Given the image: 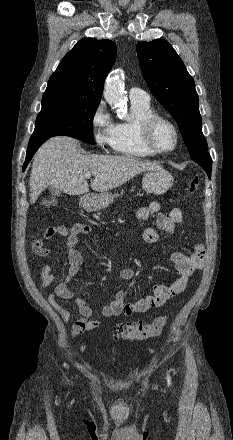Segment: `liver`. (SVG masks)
Here are the masks:
<instances>
[{
    "label": "liver",
    "instance_id": "6515ba94",
    "mask_svg": "<svg viewBox=\"0 0 233 440\" xmlns=\"http://www.w3.org/2000/svg\"><path fill=\"white\" fill-rule=\"evenodd\" d=\"M159 167L157 163L130 156L83 155L78 151L76 139L56 136L44 143L34 157L29 183L30 203L34 204L48 186L69 195L88 193L86 173L94 176L91 188L103 193L139 173Z\"/></svg>",
    "mask_w": 233,
    "mask_h": 440
}]
</instances>
